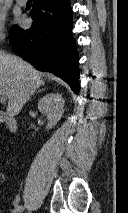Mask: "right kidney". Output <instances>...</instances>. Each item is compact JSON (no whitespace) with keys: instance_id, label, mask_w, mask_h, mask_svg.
I'll list each match as a JSON object with an SVG mask.
<instances>
[{"instance_id":"ca27d5eb","label":"right kidney","mask_w":128,"mask_h":213,"mask_svg":"<svg viewBox=\"0 0 128 213\" xmlns=\"http://www.w3.org/2000/svg\"><path fill=\"white\" fill-rule=\"evenodd\" d=\"M64 99L59 93H49L38 102V110L47 115L46 129H51L57 124L64 112Z\"/></svg>"}]
</instances>
